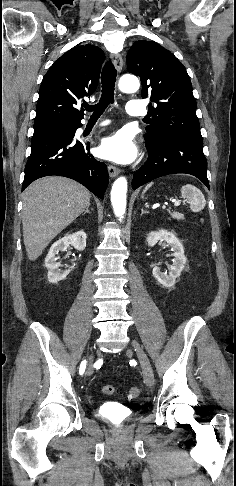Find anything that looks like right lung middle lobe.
Wrapping results in <instances>:
<instances>
[{
	"instance_id": "1",
	"label": "right lung middle lobe",
	"mask_w": 236,
	"mask_h": 486,
	"mask_svg": "<svg viewBox=\"0 0 236 486\" xmlns=\"http://www.w3.org/2000/svg\"><path fill=\"white\" fill-rule=\"evenodd\" d=\"M58 127H65L60 123H50V124H43L34 126V135L46 132H54L57 130Z\"/></svg>"
}]
</instances>
